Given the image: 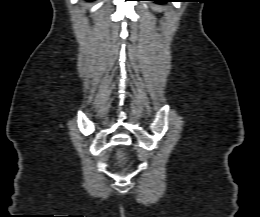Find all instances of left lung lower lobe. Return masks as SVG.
Listing matches in <instances>:
<instances>
[{"instance_id":"obj_1","label":"left lung lower lobe","mask_w":260,"mask_h":217,"mask_svg":"<svg viewBox=\"0 0 260 217\" xmlns=\"http://www.w3.org/2000/svg\"><path fill=\"white\" fill-rule=\"evenodd\" d=\"M150 1H154L156 3H166V2H171V0H150Z\"/></svg>"}]
</instances>
